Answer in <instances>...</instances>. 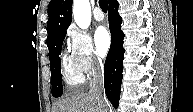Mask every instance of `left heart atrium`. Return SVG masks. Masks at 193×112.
Instances as JSON below:
<instances>
[{
    "label": "left heart atrium",
    "mask_w": 193,
    "mask_h": 112,
    "mask_svg": "<svg viewBox=\"0 0 193 112\" xmlns=\"http://www.w3.org/2000/svg\"><path fill=\"white\" fill-rule=\"evenodd\" d=\"M94 40L98 55L104 57L111 46V37L108 30L105 27H99L95 32Z\"/></svg>",
    "instance_id": "obj_1"
}]
</instances>
